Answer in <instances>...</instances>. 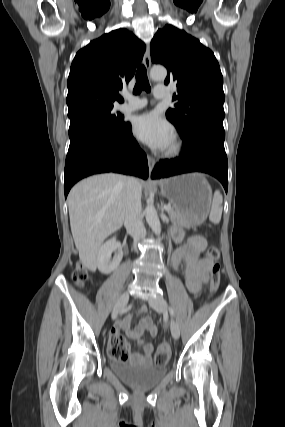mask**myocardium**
Masks as SVG:
<instances>
[{"mask_svg":"<svg viewBox=\"0 0 285 427\" xmlns=\"http://www.w3.org/2000/svg\"><path fill=\"white\" fill-rule=\"evenodd\" d=\"M182 147V142L180 138L176 135L173 138V141L171 145L168 147L167 151L165 152V155L168 157L177 155Z\"/></svg>","mask_w":285,"mask_h":427,"instance_id":"obj_1","label":"myocardium"}]
</instances>
